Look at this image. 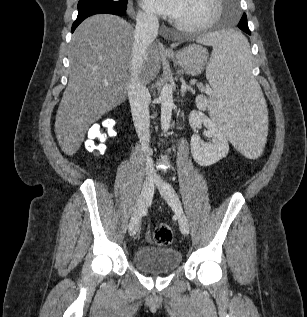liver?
<instances>
[{
    "instance_id": "obj_1",
    "label": "liver",
    "mask_w": 307,
    "mask_h": 317,
    "mask_svg": "<svg viewBox=\"0 0 307 317\" xmlns=\"http://www.w3.org/2000/svg\"><path fill=\"white\" fill-rule=\"evenodd\" d=\"M133 44L134 28L114 15H95L75 30L69 46V81L54 125L65 154H75L90 125L125 100ZM159 71V46L150 44L141 82L148 84Z\"/></svg>"
}]
</instances>
